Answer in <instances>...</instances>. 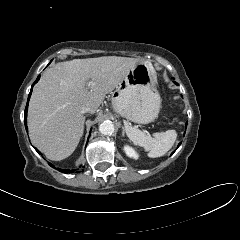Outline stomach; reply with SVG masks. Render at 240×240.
Masks as SVG:
<instances>
[{"mask_svg": "<svg viewBox=\"0 0 240 240\" xmlns=\"http://www.w3.org/2000/svg\"><path fill=\"white\" fill-rule=\"evenodd\" d=\"M111 99L114 110L127 120L141 124L154 121L161 106L154 69L136 64L111 92Z\"/></svg>", "mask_w": 240, "mask_h": 240, "instance_id": "0dacf381", "label": "stomach"}]
</instances>
